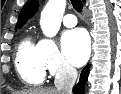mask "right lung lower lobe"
<instances>
[{
    "instance_id": "98d812e1",
    "label": "right lung lower lobe",
    "mask_w": 121,
    "mask_h": 94,
    "mask_svg": "<svg viewBox=\"0 0 121 94\" xmlns=\"http://www.w3.org/2000/svg\"><path fill=\"white\" fill-rule=\"evenodd\" d=\"M88 71H89V65H87L81 72L80 75V79L78 84L75 85V87L73 88V92L74 94H83L84 92V87H85V82H86V78L88 75Z\"/></svg>"
}]
</instances>
